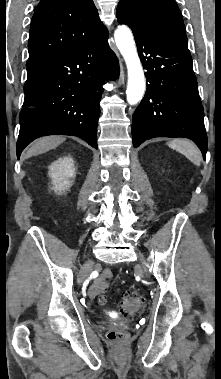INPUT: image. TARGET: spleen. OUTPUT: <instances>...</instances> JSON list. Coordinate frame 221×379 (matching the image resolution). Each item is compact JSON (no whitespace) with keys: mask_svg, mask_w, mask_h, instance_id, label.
Returning <instances> with one entry per match:
<instances>
[{"mask_svg":"<svg viewBox=\"0 0 221 379\" xmlns=\"http://www.w3.org/2000/svg\"><path fill=\"white\" fill-rule=\"evenodd\" d=\"M168 146L186 156L192 163L199 166L201 163V153L197 146L186 139H174L168 142Z\"/></svg>","mask_w":221,"mask_h":379,"instance_id":"spleen-1","label":"spleen"}]
</instances>
